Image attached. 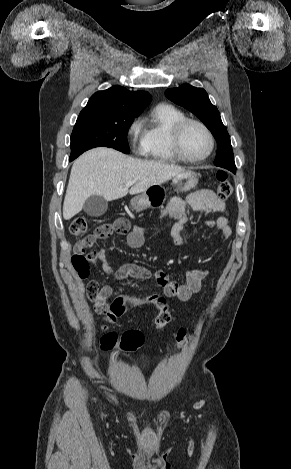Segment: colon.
I'll list each match as a JSON object with an SVG mask.
<instances>
[{
	"mask_svg": "<svg viewBox=\"0 0 291 469\" xmlns=\"http://www.w3.org/2000/svg\"><path fill=\"white\" fill-rule=\"evenodd\" d=\"M216 196L223 201L229 198L232 193V185L225 171L217 173ZM88 229L87 218L80 216L75 217L69 224V232L77 237H82L78 244L77 251L72 256V264L76 272L82 279L89 275L90 264H94L88 255L84 254L87 247L93 245L97 240L102 239L106 230L99 226L93 232L86 234ZM99 286L96 282L90 281L87 285V293L90 299H94L98 293ZM127 293H114L113 299L110 301V308L104 313V328H107L114 320H121L123 313L127 310L130 302L127 300ZM148 301H140V306L154 307L156 306L158 314L155 318V328L161 330L167 326L171 320V314L168 309L167 301L170 296L167 293H157L155 296L150 295ZM191 340V334L181 329L177 333V348L186 347ZM144 343V336L140 331L129 330L119 336L117 333L109 332L101 338V348L109 350L119 347L125 352H134L141 348Z\"/></svg>",
	"mask_w": 291,
	"mask_h": 469,
	"instance_id": "5ec220e1",
	"label": "colon"
}]
</instances>
